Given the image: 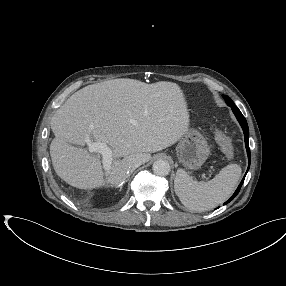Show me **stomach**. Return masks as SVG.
<instances>
[{
	"label": "stomach",
	"mask_w": 286,
	"mask_h": 286,
	"mask_svg": "<svg viewBox=\"0 0 286 286\" xmlns=\"http://www.w3.org/2000/svg\"><path fill=\"white\" fill-rule=\"evenodd\" d=\"M209 154L210 149L206 139L195 129H188L176 148L177 158L185 168L190 170L199 169Z\"/></svg>",
	"instance_id": "0dacf381"
}]
</instances>
